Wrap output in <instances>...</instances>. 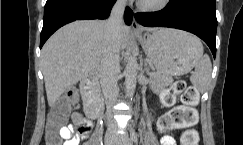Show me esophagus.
I'll return each instance as SVG.
<instances>
[{
	"label": "esophagus",
	"mask_w": 243,
	"mask_h": 145,
	"mask_svg": "<svg viewBox=\"0 0 243 145\" xmlns=\"http://www.w3.org/2000/svg\"><path fill=\"white\" fill-rule=\"evenodd\" d=\"M131 28H132L133 31H138L139 30V25H138V22L136 20V12H134Z\"/></svg>",
	"instance_id": "1"
}]
</instances>
